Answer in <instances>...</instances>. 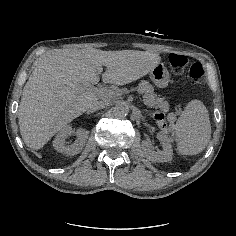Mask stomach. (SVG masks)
Returning <instances> with one entry per match:
<instances>
[{
	"mask_svg": "<svg viewBox=\"0 0 236 236\" xmlns=\"http://www.w3.org/2000/svg\"><path fill=\"white\" fill-rule=\"evenodd\" d=\"M150 78L158 87H166L169 82V72L163 64H157L150 73Z\"/></svg>",
	"mask_w": 236,
	"mask_h": 236,
	"instance_id": "stomach-1",
	"label": "stomach"
}]
</instances>
